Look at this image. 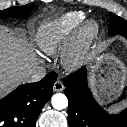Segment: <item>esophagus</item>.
Here are the masks:
<instances>
[{"label": "esophagus", "instance_id": "1", "mask_svg": "<svg viewBox=\"0 0 127 127\" xmlns=\"http://www.w3.org/2000/svg\"><path fill=\"white\" fill-rule=\"evenodd\" d=\"M53 90L55 92H61L64 90V85L60 80H57L53 85Z\"/></svg>", "mask_w": 127, "mask_h": 127}]
</instances>
